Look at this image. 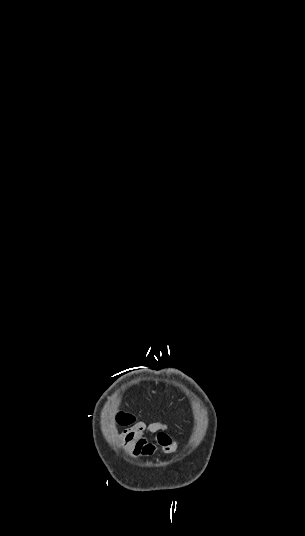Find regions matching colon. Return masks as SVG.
<instances>
[{
    "label": "colon",
    "instance_id": "colon-1",
    "mask_svg": "<svg viewBox=\"0 0 305 536\" xmlns=\"http://www.w3.org/2000/svg\"><path fill=\"white\" fill-rule=\"evenodd\" d=\"M136 419H137V414L135 411H125L124 414L123 413L117 414L116 423L119 424V426L130 427L133 425Z\"/></svg>",
    "mask_w": 305,
    "mask_h": 536
}]
</instances>
